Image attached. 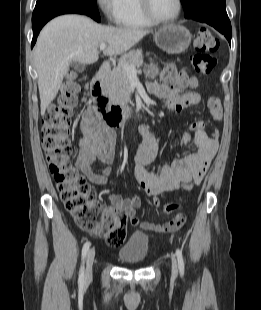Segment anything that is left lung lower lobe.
Returning <instances> with one entry per match:
<instances>
[{"mask_svg":"<svg viewBox=\"0 0 261 310\" xmlns=\"http://www.w3.org/2000/svg\"><path fill=\"white\" fill-rule=\"evenodd\" d=\"M199 21L209 24L210 26H213L220 33L224 34L228 42L231 43V36H232L231 23L228 17L227 18L203 19Z\"/></svg>","mask_w":261,"mask_h":310,"instance_id":"left-lung-lower-lobe-1","label":"left lung lower lobe"}]
</instances>
